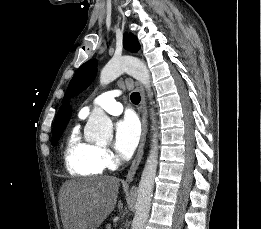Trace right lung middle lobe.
I'll use <instances>...</instances> for the list:
<instances>
[{
	"label": "right lung middle lobe",
	"instance_id": "right-lung-middle-lobe-1",
	"mask_svg": "<svg viewBox=\"0 0 261 229\" xmlns=\"http://www.w3.org/2000/svg\"><path fill=\"white\" fill-rule=\"evenodd\" d=\"M66 124L53 125L52 145H54L61 137Z\"/></svg>",
	"mask_w": 261,
	"mask_h": 229
}]
</instances>
